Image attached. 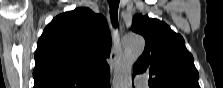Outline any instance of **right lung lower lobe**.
<instances>
[{"label":"right lung lower lobe","instance_id":"98d812e1","mask_svg":"<svg viewBox=\"0 0 223 88\" xmlns=\"http://www.w3.org/2000/svg\"><path fill=\"white\" fill-rule=\"evenodd\" d=\"M109 77L101 82L97 83L95 88H109Z\"/></svg>","mask_w":223,"mask_h":88}]
</instances>
